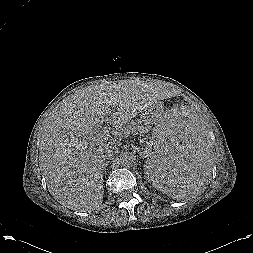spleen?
I'll use <instances>...</instances> for the list:
<instances>
[{
  "label": "spleen",
  "instance_id": "obj_1",
  "mask_svg": "<svg viewBox=\"0 0 253 253\" xmlns=\"http://www.w3.org/2000/svg\"><path fill=\"white\" fill-rule=\"evenodd\" d=\"M209 143L205 126L192 112H169L153 127L146 142V178L174 199L198 195L210 178Z\"/></svg>",
  "mask_w": 253,
  "mask_h": 253
}]
</instances>
